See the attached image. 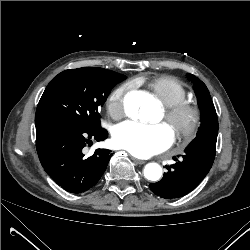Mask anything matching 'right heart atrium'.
Masks as SVG:
<instances>
[{"mask_svg":"<svg viewBox=\"0 0 250 250\" xmlns=\"http://www.w3.org/2000/svg\"><path fill=\"white\" fill-rule=\"evenodd\" d=\"M126 92V85L118 86L110 92L106 99L107 111L115 119L121 118L125 113Z\"/></svg>","mask_w":250,"mask_h":250,"instance_id":"right-heart-atrium-1","label":"right heart atrium"}]
</instances>
